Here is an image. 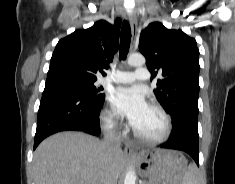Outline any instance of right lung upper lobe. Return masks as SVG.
<instances>
[{"instance_id":"obj_1","label":"right lung upper lobe","mask_w":235,"mask_h":184,"mask_svg":"<svg viewBox=\"0 0 235 184\" xmlns=\"http://www.w3.org/2000/svg\"><path fill=\"white\" fill-rule=\"evenodd\" d=\"M121 19L112 25L97 21L88 29L76 30L61 39L53 52L45 86L62 83L67 77L97 80V72L109 68L118 50Z\"/></svg>"}]
</instances>
